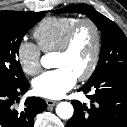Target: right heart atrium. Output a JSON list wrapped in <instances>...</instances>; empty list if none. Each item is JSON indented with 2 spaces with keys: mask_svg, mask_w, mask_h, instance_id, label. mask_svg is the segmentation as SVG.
Returning a JSON list of instances; mask_svg holds the SVG:
<instances>
[{
  "mask_svg": "<svg viewBox=\"0 0 127 127\" xmlns=\"http://www.w3.org/2000/svg\"><path fill=\"white\" fill-rule=\"evenodd\" d=\"M16 56L24 73L35 76L41 71V51L36 44L27 40L20 41Z\"/></svg>",
  "mask_w": 127,
  "mask_h": 127,
  "instance_id": "right-heart-atrium-1",
  "label": "right heart atrium"
}]
</instances>
